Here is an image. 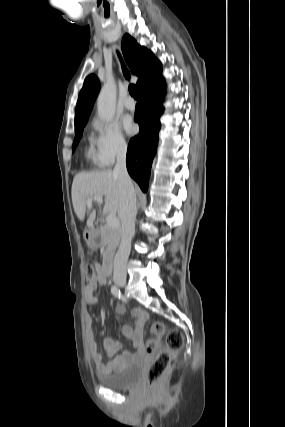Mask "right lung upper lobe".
Returning <instances> with one entry per match:
<instances>
[{
	"mask_svg": "<svg viewBox=\"0 0 285 427\" xmlns=\"http://www.w3.org/2000/svg\"><path fill=\"white\" fill-rule=\"evenodd\" d=\"M122 51L132 73L138 76L139 89L161 72L160 61L154 57L151 51L138 45L135 39L128 34L123 37ZM99 89L100 84L97 77L94 74L87 76L76 105L75 129L86 124Z\"/></svg>",
	"mask_w": 285,
	"mask_h": 427,
	"instance_id": "obj_1",
	"label": "right lung upper lobe"
}]
</instances>
